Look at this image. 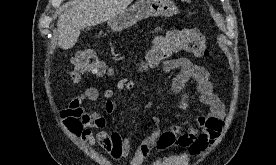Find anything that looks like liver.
Here are the masks:
<instances>
[{
  "mask_svg": "<svg viewBox=\"0 0 276 165\" xmlns=\"http://www.w3.org/2000/svg\"><path fill=\"white\" fill-rule=\"evenodd\" d=\"M133 0H82L59 16L55 38L64 50L72 48L81 30L110 21Z\"/></svg>",
  "mask_w": 276,
  "mask_h": 165,
  "instance_id": "1",
  "label": "liver"
}]
</instances>
